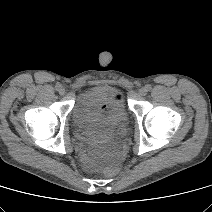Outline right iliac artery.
Returning a JSON list of instances; mask_svg holds the SVG:
<instances>
[{"mask_svg": "<svg viewBox=\"0 0 212 212\" xmlns=\"http://www.w3.org/2000/svg\"><path fill=\"white\" fill-rule=\"evenodd\" d=\"M60 87H61V85H60V84H57V85H56V90H59Z\"/></svg>", "mask_w": 212, "mask_h": 212, "instance_id": "1", "label": "right iliac artery"}]
</instances>
